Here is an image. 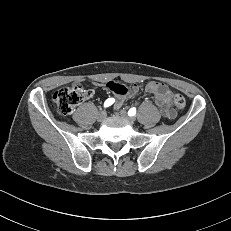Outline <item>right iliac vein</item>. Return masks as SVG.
I'll use <instances>...</instances> for the list:
<instances>
[{
	"instance_id": "63e3f726",
	"label": "right iliac vein",
	"mask_w": 231,
	"mask_h": 231,
	"mask_svg": "<svg viewBox=\"0 0 231 231\" xmlns=\"http://www.w3.org/2000/svg\"><path fill=\"white\" fill-rule=\"evenodd\" d=\"M105 118H106V112H105V111L100 112V113L98 114V116H97V120H98L99 122L103 121Z\"/></svg>"
}]
</instances>
